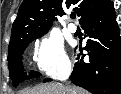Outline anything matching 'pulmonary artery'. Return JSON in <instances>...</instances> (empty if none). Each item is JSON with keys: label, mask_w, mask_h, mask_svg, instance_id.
<instances>
[{"label": "pulmonary artery", "mask_w": 121, "mask_h": 94, "mask_svg": "<svg viewBox=\"0 0 121 94\" xmlns=\"http://www.w3.org/2000/svg\"><path fill=\"white\" fill-rule=\"evenodd\" d=\"M68 30L72 33H75L77 31V26L73 23L68 24Z\"/></svg>", "instance_id": "pulmonary-artery-1"}]
</instances>
